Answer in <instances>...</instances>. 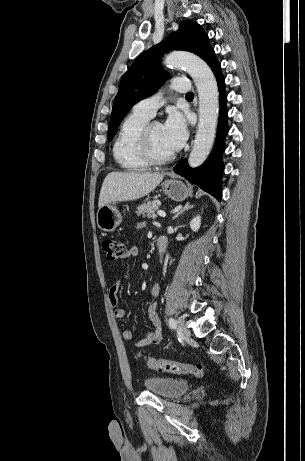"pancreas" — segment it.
I'll list each match as a JSON object with an SVG mask.
<instances>
[{"label": "pancreas", "instance_id": "1", "mask_svg": "<svg viewBox=\"0 0 305 461\" xmlns=\"http://www.w3.org/2000/svg\"><path fill=\"white\" fill-rule=\"evenodd\" d=\"M158 210V203L156 201H149L138 206L136 214L138 216L152 218L155 217V212Z\"/></svg>", "mask_w": 305, "mask_h": 461}]
</instances>
